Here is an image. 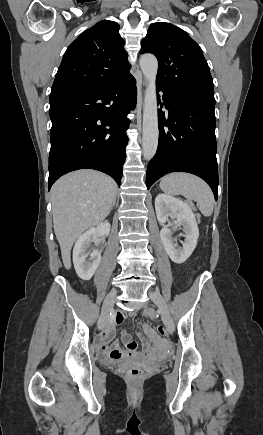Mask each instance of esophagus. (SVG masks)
Listing matches in <instances>:
<instances>
[{"label":"esophagus","mask_w":263,"mask_h":435,"mask_svg":"<svg viewBox=\"0 0 263 435\" xmlns=\"http://www.w3.org/2000/svg\"><path fill=\"white\" fill-rule=\"evenodd\" d=\"M143 85H144V86L146 85V82H145V81L143 82Z\"/></svg>","instance_id":"obj_1"}]
</instances>
